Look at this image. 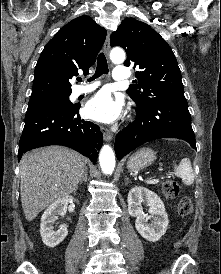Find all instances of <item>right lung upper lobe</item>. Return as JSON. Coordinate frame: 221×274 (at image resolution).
<instances>
[{
	"mask_svg": "<svg viewBox=\"0 0 221 274\" xmlns=\"http://www.w3.org/2000/svg\"><path fill=\"white\" fill-rule=\"evenodd\" d=\"M106 33L89 16L75 18L62 27L38 59L30 100L71 94L69 80L78 75L79 70L89 73Z\"/></svg>",
	"mask_w": 221,
	"mask_h": 274,
	"instance_id": "cb5924a9",
	"label": "right lung upper lobe"
}]
</instances>
